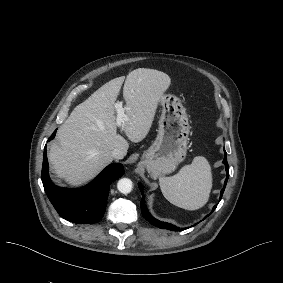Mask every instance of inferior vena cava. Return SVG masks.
I'll use <instances>...</instances> for the list:
<instances>
[{
	"label": "inferior vena cava",
	"instance_id": "602c4592",
	"mask_svg": "<svg viewBox=\"0 0 283 283\" xmlns=\"http://www.w3.org/2000/svg\"><path fill=\"white\" fill-rule=\"evenodd\" d=\"M111 153L113 158L115 159H123V157L125 156V152L118 148L113 149Z\"/></svg>",
	"mask_w": 283,
	"mask_h": 283
}]
</instances>
